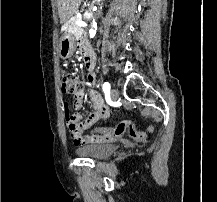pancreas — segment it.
Here are the masks:
<instances>
[{"mask_svg": "<svg viewBox=\"0 0 217 202\" xmlns=\"http://www.w3.org/2000/svg\"><path fill=\"white\" fill-rule=\"evenodd\" d=\"M73 22H69V24L66 23V25H63V29L65 28L68 30L69 34H74L75 38H82L84 34L83 28L81 26H75L74 22H77V17H72Z\"/></svg>", "mask_w": 217, "mask_h": 202, "instance_id": "pancreas-1", "label": "pancreas"}]
</instances>
